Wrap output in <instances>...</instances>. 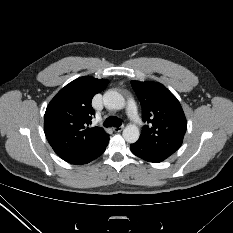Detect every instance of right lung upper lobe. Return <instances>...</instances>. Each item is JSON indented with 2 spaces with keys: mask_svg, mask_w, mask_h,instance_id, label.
<instances>
[{
  "mask_svg": "<svg viewBox=\"0 0 233 233\" xmlns=\"http://www.w3.org/2000/svg\"><path fill=\"white\" fill-rule=\"evenodd\" d=\"M108 80L84 76L62 88L47 106L44 131L55 153L74 163L95 151L108 137L99 127H87L94 110L95 94L104 90Z\"/></svg>",
  "mask_w": 233,
  "mask_h": 233,
  "instance_id": "right-lung-upper-lobe-1",
  "label": "right lung upper lobe"
}]
</instances>
